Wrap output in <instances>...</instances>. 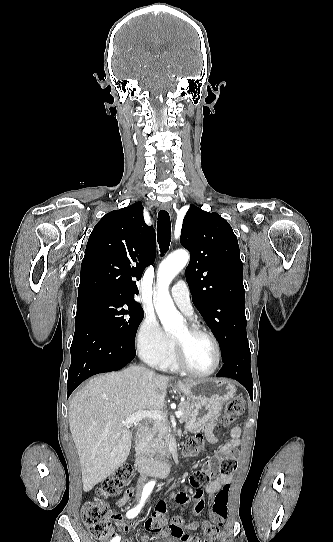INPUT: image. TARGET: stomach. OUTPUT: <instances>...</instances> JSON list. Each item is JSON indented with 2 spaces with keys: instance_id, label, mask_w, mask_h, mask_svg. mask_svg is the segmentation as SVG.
I'll use <instances>...</instances> for the list:
<instances>
[{
  "instance_id": "stomach-1",
  "label": "stomach",
  "mask_w": 333,
  "mask_h": 542,
  "mask_svg": "<svg viewBox=\"0 0 333 542\" xmlns=\"http://www.w3.org/2000/svg\"><path fill=\"white\" fill-rule=\"evenodd\" d=\"M175 390L193 402L191 420L187 430H200L208 422L217 420L223 408V404L236 396V388L230 380H194L191 384L176 382Z\"/></svg>"
}]
</instances>
